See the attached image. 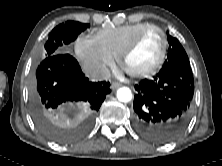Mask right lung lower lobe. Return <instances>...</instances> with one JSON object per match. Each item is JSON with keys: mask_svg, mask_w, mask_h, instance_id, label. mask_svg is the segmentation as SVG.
I'll list each match as a JSON object with an SVG mask.
<instances>
[{"mask_svg": "<svg viewBox=\"0 0 222 166\" xmlns=\"http://www.w3.org/2000/svg\"><path fill=\"white\" fill-rule=\"evenodd\" d=\"M106 81L90 82L79 63L70 54L56 53L47 56L36 70V84L31 94L32 114L42 113L55 120L78 123L75 130H66L60 138L66 142L77 139L86 130L99 110L106 95L111 92ZM75 104L84 109L71 116Z\"/></svg>", "mask_w": 222, "mask_h": 166, "instance_id": "obj_1", "label": "right lung lower lobe"}]
</instances>
